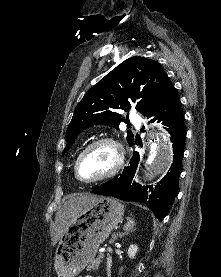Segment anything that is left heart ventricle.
<instances>
[{"label": "left heart ventricle", "mask_w": 221, "mask_h": 277, "mask_svg": "<svg viewBox=\"0 0 221 277\" xmlns=\"http://www.w3.org/2000/svg\"><path fill=\"white\" fill-rule=\"evenodd\" d=\"M114 149L102 144L91 149L82 158L79 165V174L83 179H94L107 173L115 164Z\"/></svg>", "instance_id": "left-heart-ventricle-1"}]
</instances>
